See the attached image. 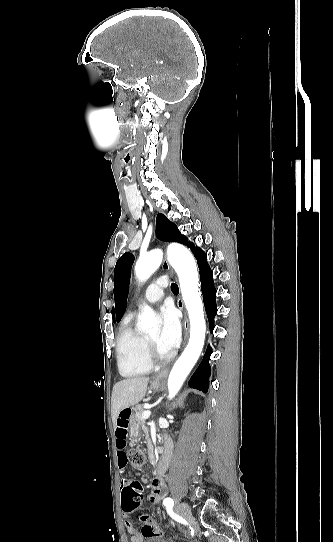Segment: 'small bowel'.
Wrapping results in <instances>:
<instances>
[{"label":"small bowel","instance_id":"c3829d8e","mask_svg":"<svg viewBox=\"0 0 333 542\" xmlns=\"http://www.w3.org/2000/svg\"><path fill=\"white\" fill-rule=\"evenodd\" d=\"M120 415L117 418L116 425H115V444L117 449V456H118V465L119 469L122 473L125 472L127 467V456L125 453V449L127 447V438H128V429H129V416L131 415V408L129 406H122L120 408ZM130 483L129 480L126 477L121 478V490H122V499L123 497H131V491H130ZM150 494H149V501L153 504H158L163 499L165 493H166V482L164 479V476L155 475L150 482ZM124 519L126 521L124 522L125 529L127 532L131 535L130 541L131 542H143V535L140 533L136 528L134 527L133 523L127 519H129V514H124ZM151 524L157 528L158 536L161 537L163 535V532L161 529L156 525V522L154 520H151ZM156 538V537H154Z\"/></svg>","mask_w":333,"mask_h":542}]
</instances>
